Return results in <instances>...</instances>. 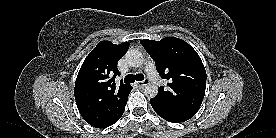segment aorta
<instances>
[{"label":"aorta","mask_w":276,"mask_h":138,"mask_svg":"<svg viewBox=\"0 0 276 138\" xmlns=\"http://www.w3.org/2000/svg\"><path fill=\"white\" fill-rule=\"evenodd\" d=\"M125 59L131 67H139L144 62L142 53L136 49H129L125 54ZM144 93L148 98H154L158 94V87L154 84H147Z\"/></svg>","instance_id":"1"}]
</instances>
